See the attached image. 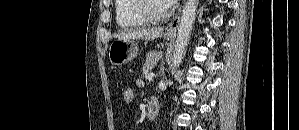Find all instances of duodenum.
Segmentation results:
<instances>
[{
	"label": "duodenum",
	"instance_id": "410a0bca",
	"mask_svg": "<svg viewBox=\"0 0 299 130\" xmlns=\"http://www.w3.org/2000/svg\"><path fill=\"white\" fill-rule=\"evenodd\" d=\"M159 114V105L156 99H151L147 108V117L149 121H155Z\"/></svg>",
	"mask_w": 299,
	"mask_h": 130
}]
</instances>
